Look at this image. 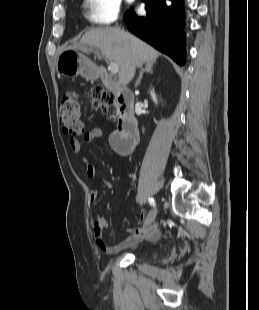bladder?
Returning a JSON list of instances; mask_svg holds the SVG:
<instances>
[{"label": "bladder", "instance_id": "31cf9c89", "mask_svg": "<svg viewBox=\"0 0 259 310\" xmlns=\"http://www.w3.org/2000/svg\"><path fill=\"white\" fill-rule=\"evenodd\" d=\"M158 255H159L158 252H153V253H150V254H149V257H150V258H155V257H157Z\"/></svg>", "mask_w": 259, "mask_h": 310}]
</instances>
